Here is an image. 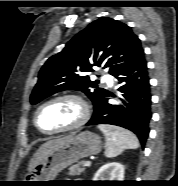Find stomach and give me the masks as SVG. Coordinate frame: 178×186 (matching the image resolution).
I'll use <instances>...</instances> for the list:
<instances>
[{"label": "stomach", "mask_w": 178, "mask_h": 186, "mask_svg": "<svg viewBox=\"0 0 178 186\" xmlns=\"http://www.w3.org/2000/svg\"><path fill=\"white\" fill-rule=\"evenodd\" d=\"M100 137L90 131L72 135L59 147L53 149L27 175L25 181H54L55 177L66 167L80 159L101 151ZM29 185H48L50 182H28Z\"/></svg>", "instance_id": "1"}]
</instances>
